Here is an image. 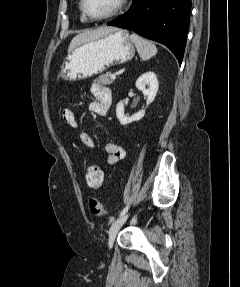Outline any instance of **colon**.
Segmentation results:
<instances>
[{
  "label": "colon",
  "instance_id": "5ec220e1",
  "mask_svg": "<svg viewBox=\"0 0 240 287\" xmlns=\"http://www.w3.org/2000/svg\"><path fill=\"white\" fill-rule=\"evenodd\" d=\"M85 179L90 188H100L104 180L102 169L98 165H89L85 170ZM89 208L91 213L96 216H106L108 214L102 201L94 197L89 198Z\"/></svg>",
  "mask_w": 240,
  "mask_h": 287
}]
</instances>
